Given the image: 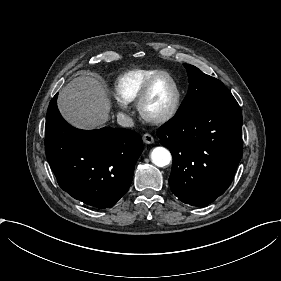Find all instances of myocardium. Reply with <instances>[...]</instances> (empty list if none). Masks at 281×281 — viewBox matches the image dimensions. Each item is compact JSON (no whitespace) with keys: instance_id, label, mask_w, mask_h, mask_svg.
<instances>
[{"instance_id":"1","label":"myocardium","mask_w":281,"mask_h":281,"mask_svg":"<svg viewBox=\"0 0 281 281\" xmlns=\"http://www.w3.org/2000/svg\"><path fill=\"white\" fill-rule=\"evenodd\" d=\"M162 79H168L173 86L172 103L170 105V108L164 114L152 115L147 112L146 104L149 101V99L151 98V95L153 93V90H154L156 84L159 81H161ZM179 104H180V89H179L178 82L172 74L166 72V73H162V74L152 77L147 82V84L145 85L143 91L141 92V94L137 100V110H138L140 117L144 121L153 123V124H162V123H166V122L170 121L171 119H173L175 117V115L178 111V108H179Z\"/></svg>"}]
</instances>
